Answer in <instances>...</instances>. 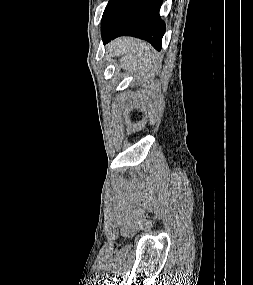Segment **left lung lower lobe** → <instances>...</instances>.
<instances>
[{"instance_id":"0a47b994","label":"left lung lower lobe","mask_w":253,"mask_h":285,"mask_svg":"<svg viewBox=\"0 0 253 285\" xmlns=\"http://www.w3.org/2000/svg\"><path fill=\"white\" fill-rule=\"evenodd\" d=\"M162 0H109L101 21L104 43L119 36H133L161 49L165 23L160 19Z\"/></svg>"}]
</instances>
